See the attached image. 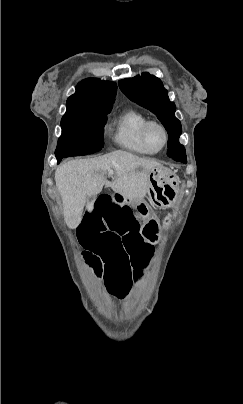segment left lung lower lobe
I'll list each match as a JSON object with an SVG mask.
<instances>
[{
  "mask_svg": "<svg viewBox=\"0 0 243 404\" xmlns=\"http://www.w3.org/2000/svg\"><path fill=\"white\" fill-rule=\"evenodd\" d=\"M182 163H187V161H182Z\"/></svg>",
  "mask_w": 243,
  "mask_h": 404,
  "instance_id": "obj_1",
  "label": "left lung lower lobe"
}]
</instances>
